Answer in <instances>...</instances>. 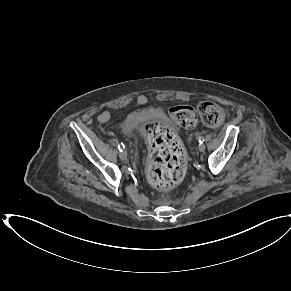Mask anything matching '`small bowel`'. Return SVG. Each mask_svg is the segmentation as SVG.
<instances>
[{"mask_svg": "<svg viewBox=\"0 0 291 291\" xmlns=\"http://www.w3.org/2000/svg\"><path fill=\"white\" fill-rule=\"evenodd\" d=\"M110 118V114L108 112H102L97 116L99 122H106Z\"/></svg>", "mask_w": 291, "mask_h": 291, "instance_id": "small-bowel-1", "label": "small bowel"}]
</instances>
